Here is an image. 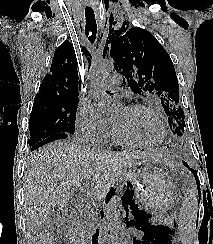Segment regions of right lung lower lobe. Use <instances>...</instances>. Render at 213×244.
Here are the masks:
<instances>
[{
  "instance_id": "right-lung-lower-lobe-1",
  "label": "right lung lower lobe",
  "mask_w": 213,
  "mask_h": 244,
  "mask_svg": "<svg viewBox=\"0 0 213 244\" xmlns=\"http://www.w3.org/2000/svg\"><path fill=\"white\" fill-rule=\"evenodd\" d=\"M67 137H68V134H65V133H60V134L48 137V138L44 139L43 141L37 143L36 145L32 146L31 151L36 150L37 148H39L47 143H50L52 141L59 140V139H65Z\"/></svg>"
}]
</instances>
